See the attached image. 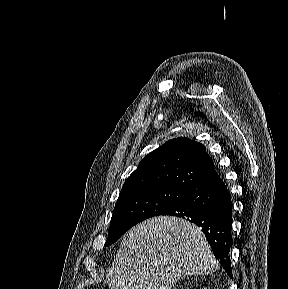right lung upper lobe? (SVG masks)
Listing matches in <instances>:
<instances>
[{
  "label": "right lung upper lobe",
  "instance_id": "obj_1",
  "mask_svg": "<svg viewBox=\"0 0 288 289\" xmlns=\"http://www.w3.org/2000/svg\"><path fill=\"white\" fill-rule=\"evenodd\" d=\"M214 167L202 144L185 137L172 139L141 160L121 192L155 187L187 190Z\"/></svg>",
  "mask_w": 288,
  "mask_h": 289
}]
</instances>
